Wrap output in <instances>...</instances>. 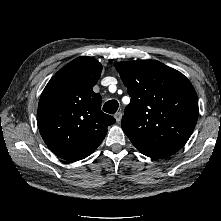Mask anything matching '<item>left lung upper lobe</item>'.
Returning a JSON list of instances; mask_svg holds the SVG:
<instances>
[{"label": "left lung upper lobe", "mask_w": 221, "mask_h": 221, "mask_svg": "<svg viewBox=\"0 0 221 221\" xmlns=\"http://www.w3.org/2000/svg\"><path fill=\"white\" fill-rule=\"evenodd\" d=\"M115 68L131 97L122 117L125 134L148 157L176 153L198 118V99L190 81L156 60L118 62Z\"/></svg>", "instance_id": "obj_1"}]
</instances>
